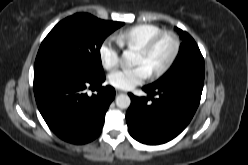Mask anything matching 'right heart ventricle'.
Instances as JSON below:
<instances>
[{
	"instance_id": "e07e8e85",
	"label": "right heart ventricle",
	"mask_w": 248,
	"mask_h": 165,
	"mask_svg": "<svg viewBox=\"0 0 248 165\" xmlns=\"http://www.w3.org/2000/svg\"><path fill=\"white\" fill-rule=\"evenodd\" d=\"M163 30L153 24H138L120 31L116 42L122 48H141L152 37L162 33Z\"/></svg>"
}]
</instances>
